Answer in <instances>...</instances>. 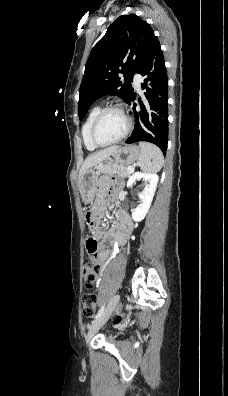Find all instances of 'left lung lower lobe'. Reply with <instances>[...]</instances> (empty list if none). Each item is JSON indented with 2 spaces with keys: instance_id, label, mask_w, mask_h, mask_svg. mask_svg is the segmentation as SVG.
<instances>
[{
  "instance_id": "1",
  "label": "left lung lower lobe",
  "mask_w": 228,
  "mask_h": 396,
  "mask_svg": "<svg viewBox=\"0 0 228 396\" xmlns=\"http://www.w3.org/2000/svg\"><path fill=\"white\" fill-rule=\"evenodd\" d=\"M144 76L142 89L143 99L138 98L139 107L133 105L135 126L127 144L147 141L157 145L166 154L168 142V78L160 43L156 38L147 56L144 66L139 72ZM132 94L128 104L135 100Z\"/></svg>"
}]
</instances>
